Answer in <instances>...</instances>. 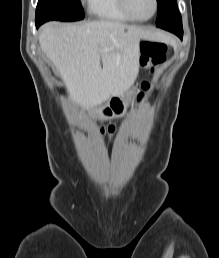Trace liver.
<instances>
[{"label": "liver", "mask_w": 219, "mask_h": 258, "mask_svg": "<svg viewBox=\"0 0 219 258\" xmlns=\"http://www.w3.org/2000/svg\"><path fill=\"white\" fill-rule=\"evenodd\" d=\"M140 39L172 41L164 33L112 21L48 23L38 37L71 99L84 108L98 107L130 89L139 71Z\"/></svg>", "instance_id": "liver-1"}]
</instances>
